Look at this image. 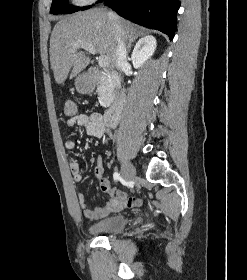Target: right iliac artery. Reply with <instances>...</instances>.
Instances as JSON below:
<instances>
[{
	"label": "right iliac artery",
	"mask_w": 247,
	"mask_h": 280,
	"mask_svg": "<svg viewBox=\"0 0 247 280\" xmlns=\"http://www.w3.org/2000/svg\"><path fill=\"white\" fill-rule=\"evenodd\" d=\"M113 178L115 181H118L120 179V174L118 172H115Z\"/></svg>",
	"instance_id": "1"
}]
</instances>
